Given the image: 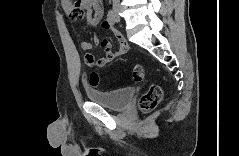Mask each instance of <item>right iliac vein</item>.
Returning <instances> with one entry per match:
<instances>
[{"label": "right iliac vein", "mask_w": 239, "mask_h": 156, "mask_svg": "<svg viewBox=\"0 0 239 156\" xmlns=\"http://www.w3.org/2000/svg\"><path fill=\"white\" fill-rule=\"evenodd\" d=\"M118 12H119V10L117 8H115L114 13H115L116 16H118Z\"/></svg>", "instance_id": "obj_1"}]
</instances>
